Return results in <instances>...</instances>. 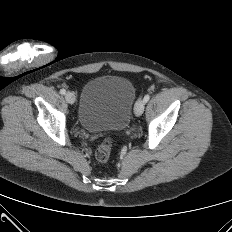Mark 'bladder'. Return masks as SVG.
Segmentation results:
<instances>
[{"instance_id": "31cf9c89", "label": "bladder", "mask_w": 232, "mask_h": 232, "mask_svg": "<svg viewBox=\"0 0 232 232\" xmlns=\"http://www.w3.org/2000/svg\"><path fill=\"white\" fill-rule=\"evenodd\" d=\"M135 87L122 76H99L83 87L78 121L91 132L124 130L135 103Z\"/></svg>"}]
</instances>
